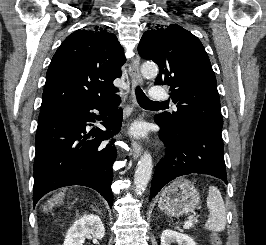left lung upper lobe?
<instances>
[{"mask_svg": "<svg viewBox=\"0 0 266 245\" xmlns=\"http://www.w3.org/2000/svg\"><path fill=\"white\" fill-rule=\"evenodd\" d=\"M138 52L159 66L155 85H168L177 104L176 112L157 115V119L173 131L184 122L222 129L216 77L196 36L177 24L157 27L143 34Z\"/></svg>", "mask_w": 266, "mask_h": 245, "instance_id": "1", "label": "left lung upper lobe"}]
</instances>
